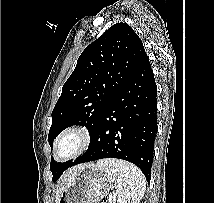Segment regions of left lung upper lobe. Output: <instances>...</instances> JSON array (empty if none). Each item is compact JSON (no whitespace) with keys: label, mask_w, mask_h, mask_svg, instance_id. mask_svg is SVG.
Returning a JSON list of instances; mask_svg holds the SVG:
<instances>
[{"label":"left lung upper lobe","mask_w":214,"mask_h":203,"mask_svg":"<svg viewBox=\"0 0 214 203\" xmlns=\"http://www.w3.org/2000/svg\"><path fill=\"white\" fill-rule=\"evenodd\" d=\"M144 53L141 39L126 23L114 24L88 45L52 111L49 144L74 125L87 127L91 137L100 116ZM71 162L52 160V180L57 181Z\"/></svg>","instance_id":"left-lung-upper-lobe-1"}]
</instances>
